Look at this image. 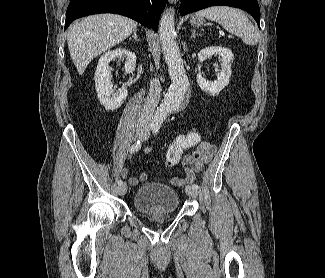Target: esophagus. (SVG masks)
Instances as JSON below:
<instances>
[{
  "label": "esophagus",
  "mask_w": 325,
  "mask_h": 278,
  "mask_svg": "<svg viewBox=\"0 0 325 278\" xmlns=\"http://www.w3.org/2000/svg\"><path fill=\"white\" fill-rule=\"evenodd\" d=\"M172 4H176L178 0H168Z\"/></svg>",
  "instance_id": "obj_1"
}]
</instances>
